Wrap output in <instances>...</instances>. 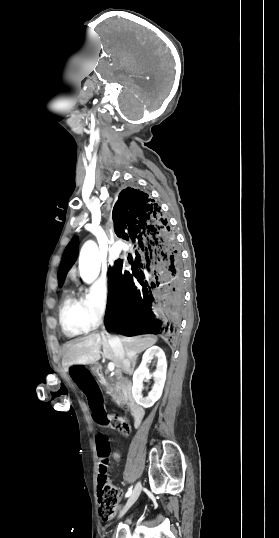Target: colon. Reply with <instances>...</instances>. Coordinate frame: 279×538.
Here are the masks:
<instances>
[{
  "instance_id": "colon-1",
  "label": "colon",
  "mask_w": 279,
  "mask_h": 538,
  "mask_svg": "<svg viewBox=\"0 0 279 538\" xmlns=\"http://www.w3.org/2000/svg\"><path fill=\"white\" fill-rule=\"evenodd\" d=\"M108 426L122 434L130 433L132 426L129 421L121 416H114L108 420ZM96 447L99 455V475H98V499L99 513L103 520H111L115 515L119 493L109 482L107 467L111 455L109 440L103 434L96 436Z\"/></svg>"
}]
</instances>
